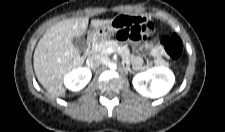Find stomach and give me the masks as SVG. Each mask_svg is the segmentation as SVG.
I'll use <instances>...</instances> for the list:
<instances>
[{"label":"stomach","mask_w":225,"mask_h":132,"mask_svg":"<svg viewBox=\"0 0 225 132\" xmlns=\"http://www.w3.org/2000/svg\"><path fill=\"white\" fill-rule=\"evenodd\" d=\"M115 28L112 23L103 27L96 28L92 30L89 34V38L94 42H101L103 40H108L112 37Z\"/></svg>","instance_id":"obj_1"}]
</instances>
